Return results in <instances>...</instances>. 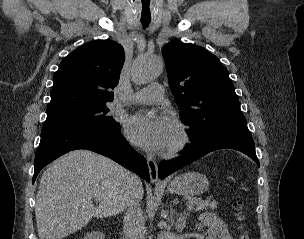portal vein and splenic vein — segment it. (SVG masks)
Returning a JSON list of instances; mask_svg holds the SVG:
<instances>
[{
  "label": "portal vein and splenic vein",
  "mask_w": 304,
  "mask_h": 239,
  "mask_svg": "<svg viewBox=\"0 0 304 239\" xmlns=\"http://www.w3.org/2000/svg\"><path fill=\"white\" fill-rule=\"evenodd\" d=\"M193 208H194V204L193 203H191V204L188 205V210H191Z\"/></svg>",
  "instance_id": "portal-vein-and-splenic-vein-1"
}]
</instances>
